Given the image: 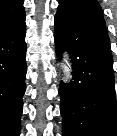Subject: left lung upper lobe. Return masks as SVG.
I'll list each match as a JSON object with an SVG mask.
<instances>
[{
	"label": "left lung upper lobe",
	"instance_id": "1",
	"mask_svg": "<svg viewBox=\"0 0 117 136\" xmlns=\"http://www.w3.org/2000/svg\"><path fill=\"white\" fill-rule=\"evenodd\" d=\"M56 15L106 29L102 8L97 0H60Z\"/></svg>",
	"mask_w": 117,
	"mask_h": 136
}]
</instances>
